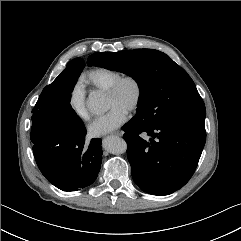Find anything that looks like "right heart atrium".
I'll list each match as a JSON object with an SVG mask.
<instances>
[{
	"label": "right heart atrium",
	"instance_id": "right-heart-atrium-1",
	"mask_svg": "<svg viewBox=\"0 0 241 241\" xmlns=\"http://www.w3.org/2000/svg\"><path fill=\"white\" fill-rule=\"evenodd\" d=\"M69 105L74 114L81 120L90 119L86 90L81 83H76L69 96Z\"/></svg>",
	"mask_w": 241,
	"mask_h": 241
}]
</instances>
